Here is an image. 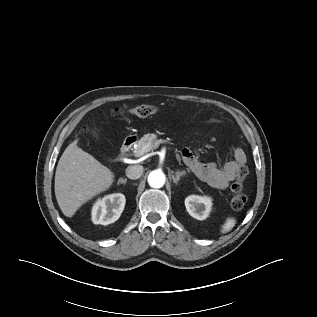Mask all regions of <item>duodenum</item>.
<instances>
[{
    "label": "duodenum",
    "mask_w": 317,
    "mask_h": 317,
    "mask_svg": "<svg viewBox=\"0 0 317 317\" xmlns=\"http://www.w3.org/2000/svg\"><path fill=\"white\" fill-rule=\"evenodd\" d=\"M135 142H136V137L134 136L127 137L121 146V153L122 154L128 153L130 149L133 147V145L135 144Z\"/></svg>",
    "instance_id": "1"
}]
</instances>
